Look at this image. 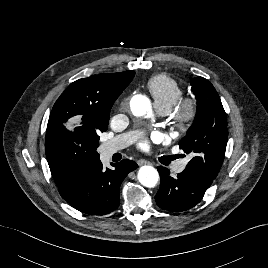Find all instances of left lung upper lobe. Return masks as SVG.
I'll use <instances>...</instances> for the list:
<instances>
[{
  "label": "left lung upper lobe",
  "instance_id": "obj_1",
  "mask_svg": "<svg viewBox=\"0 0 268 268\" xmlns=\"http://www.w3.org/2000/svg\"><path fill=\"white\" fill-rule=\"evenodd\" d=\"M191 86L198 101L197 113L179 146L193 157L185 169L212 183L224 160L228 139L226 114L208 80L198 76L191 80Z\"/></svg>",
  "mask_w": 268,
  "mask_h": 268
}]
</instances>
